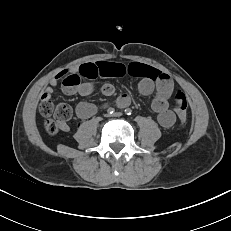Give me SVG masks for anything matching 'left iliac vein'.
<instances>
[{
  "label": "left iliac vein",
  "mask_w": 231,
  "mask_h": 231,
  "mask_svg": "<svg viewBox=\"0 0 231 231\" xmlns=\"http://www.w3.org/2000/svg\"><path fill=\"white\" fill-rule=\"evenodd\" d=\"M114 116H115V117H120V116H121V113H115Z\"/></svg>",
  "instance_id": "1"
}]
</instances>
